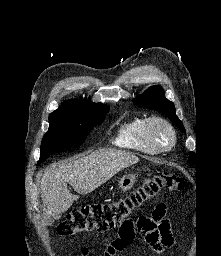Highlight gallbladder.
I'll return each instance as SVG.
<instances>
[{
  "label": "gallbladder",
  "mask_w": 221,
  "mask_h": 256,
  "mask_svg": "<svg viewBox=\"0 0 221 256\" xmlns=\"http://www.w3.org/2000/svg\"><path fill=\"white\" fill-rule=\"evenodd\" d=\"M60 218H61L60 215H57V216H55V217H49V218L47 219V223H48L49 225H52L55 221H58Z\"/></svg>",
  "instance_id": "obj_1"
}]
</instances>
